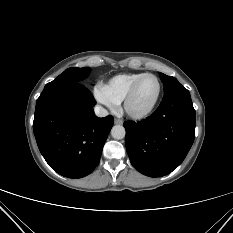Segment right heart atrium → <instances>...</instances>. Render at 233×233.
Here are the masks:
<instances>
[{"label": "right heart atrium", "instance_id": "1", "mask_svg": "<svg viewBox=\"0 0 233 233\" xmlns=\"http://www.w3.org/2000/svg\"><path fill=\"white\" fill-rule=\"evenodd\" d=\"M94 98L101 104L107 106L108 108H115L117 106V101L112 97L106 85L97 84L93 89Z\"/></svg>", "mask_w": 233, "mask_h": 233}]
</instances>
